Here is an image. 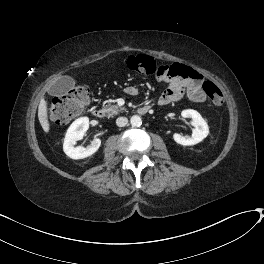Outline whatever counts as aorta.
<instances>
[{"mask_svg":"<svg viewBox=\"0 0 264 264\" xmlns=\"http://www.w3.org/2000/svg\"><path fill=\"white\" fill-rule=\"evenodd\" d=\"M130 123L133 127H139L142 124V119L138 115H133L130 119Z\"/></svg>","mask_w":264,"mask_h":264,"instance_id":"aorta-1","label":"aorta"}]
</instances>
